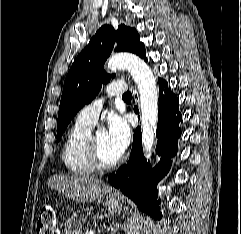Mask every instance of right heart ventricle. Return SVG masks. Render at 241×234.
Wrapping results in <instances>:
<instances>
[{"mask_svg": "<svg viewBox=\"0 0 241 234\" xmlns=\"http://www.w3.org/2000/svg\"><path fill=\"white\" fill-rule=\"evenodd\" d=\"M92 126L76 120L64 140L62 159L67 171L75 176H89L96 171L87 155L88 137Z\"/></svg>", "mask_w": 241, "mask_h": 234, "instance_id": "e07e8e85", "label": "right heart ventricle"}]
</instances>
